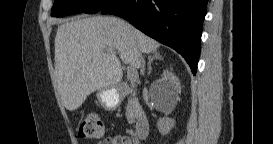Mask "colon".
<instances>
[{
  "instance_id": "1",
  "label": "colon",
  "mask_w": 273,
  "mask_h": 144,
  "mask_svg": "<svg viewBox=\"0 0 273 144\" xmlns=\"http://www.w3.org/2000/svg\"><path fill=\"white\" fill-rule=\"evenodd\" d=\"M103 120L96 114L86 115L80 122L78 134L84 139H100L104 136Z\"/></svg>"
}]
</instances>
